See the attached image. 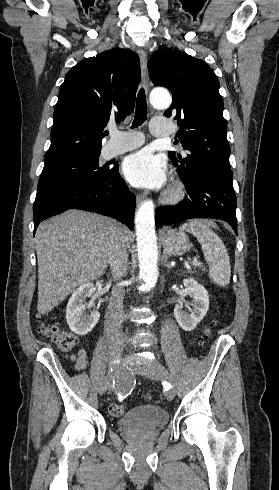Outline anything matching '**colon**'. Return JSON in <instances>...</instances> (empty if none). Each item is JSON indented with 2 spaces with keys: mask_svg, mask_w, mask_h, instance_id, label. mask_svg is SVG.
<instances>
[{
  "mask_svg": "<svg viewBox=\"0 0 279 490\" xmlns=\"http://www.w3.org/2000/svg\"><path fill=\"white\" fill-rule=\"evenodd\" d=\"M40 334L53 341L59 349L63 351H70L71 347H76V337L70 333L61 331L58 326L45 323L39 329ZM210 330L206 329L198 338V344L204 347L210 339ZM148 397V396H147ZM109 412L112 416L119 417L125 413V406L123 404H112L109 407Z\"/></svg>",
  "mask_w": 279,
  "mask_h": 490,
  "instance_id": "5ec220e1",
  "label": "colon"
}]
</instances>
